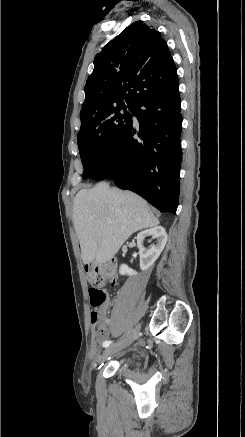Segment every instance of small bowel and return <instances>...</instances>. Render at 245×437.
I'll return each instance as SVG.
<instances>
[{
	"instance_id": "1",
	"label": "small bowel",
	"mask_w": 245,
	"mask_h": 437,
	"mask_svg": "<svg viewBox=\"0 0 245 437\" xmlns=\"http://www.w3.org/2000/svg\"><path fill=\"white\" fill-rule=\"evenodd\" d=\"M101 312H102V316H104V315L106 314V312H107V307L104 306V307L101 309ZM91 326H92L93 328L96 326V323H94V322L92 321V319H91ZM104 329H105V332H104V335H103V336H101V337H96V336H95V340H94V342H93V350H94V351H97V350H98L101 341H102L104 338H106L107 335H108V331H107V329H106L105 327H104Z\"/></svg>"
}]
</instances>
